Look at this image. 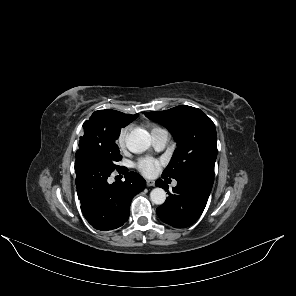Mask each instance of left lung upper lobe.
<instances>
[{"label": "left lung upper lobe", "mask_w": 296, "mask_h": 296, "mask_svg": "<svg viewBox=\"0 0 296 296\" xmlns=\"http://www.w3.org/2000/svg\"><path fill=\"white\" fill-rule=\"evenodd\" d=\"M145 115L166 127L177 143L173 158L162 174L163 178L178 179L195 173L214 175L217 157L216 128L200 109L177 106Z\"/></svg>", "instance_id": "5c2ea615"}]
</instances>
